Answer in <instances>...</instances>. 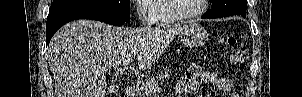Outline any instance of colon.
<instances>
[{
	"label": "colon",
	"instance_id": "5ec220e1",
	"mask_svg": "<svg viewBox=\"0 0 302 97\" xmlns=\"http://www.w3.org/2000/svg\"><path fill=\"white\" fill-rule=\"evenodd\" d=\"M225 42L235 46L230 56L231 62L235 65L243 64L248 56L245 46L237 40L235 35L227 36Z\"/></svg>",
	"mask_w": 302,
	"mask_h": 97
}]
</instances>
